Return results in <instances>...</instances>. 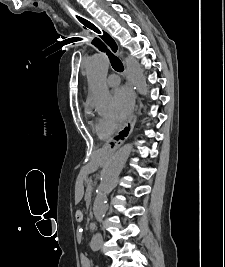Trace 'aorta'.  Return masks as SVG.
I'll return each mask as SVG.
<instances>
[{
    "label": "aorta",
    "instance_id": "aorta-1",
    "mask_svg": "<svg viewBox=\"0 0 225 267\" xmlns=\"http://www.w3.org/2000/svg\"><path fill=\"white\" fill-rule=\"evenodd\" d=\"M125 63L131 83L140 94L147 95L148 87L146 79L137 60L132 57H127ZM108 68L109 61L103 54H96L90 57L86 63V74L91 89L90 104L101 113L108 111L113 104L112 96L106 84ZM132 149V144L122 146L102 171L101 181L93 204L94 216L100 223L103 221L106 213L107 196L115 187L118 176L129 158ZM102 242V235L97 233L93 236L90 246L93 250H98Z\"/></svg>",
    "mask_w": 225,
    "mask_h": 267
}]
</instances>
